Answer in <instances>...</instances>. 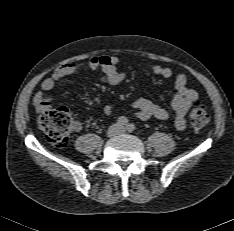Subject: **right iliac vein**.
<instances>
[{
  "instance_id": "63e3f726",
  "label": "right iliac vein",
  "mask_w": 234,
  "mask_h": 231,
  "mask_svg": "<svg viewBox=\"0 0 234 231\" xmlns=\"http://www.w3.org/2000/svg\"><path fill=\"white\" fill-rule=\"evenodd\" d=\"M119 132V127L118 125H113L109 128L108 130V136L113 137Z\"/></svg>"
}]
</instances>
